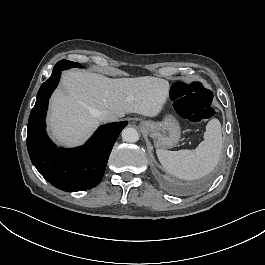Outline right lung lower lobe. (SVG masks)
I'll use <instances>...</instances> for the list:
<instances>
[{"mask_svg": "<svg viewBox=\"0 0 265 265\" xmlns=\"http://www.w3.org/2000/svg\"><path fill=\"white\" fill-rule=\"evenodd\" d=\"M65 67L55 65L51 77L40 87L28 121L27 148L33 165L49 183L73 192L93 188L101 181L112 147L127 122L99 127L81 147L56 148L46 134L45 116L50 95Z\"/></svg>", "mask_w": 265, "mask_h": 265, "instance_id": "1", "label": "right lung lower lobe"}]
</instances>
